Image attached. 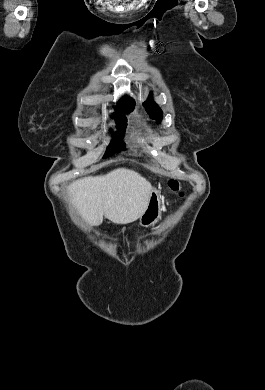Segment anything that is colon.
Returning <instances> with one entry per match:
<instances>
[{"label":"colon","mask_w":265,"mask_h":390,"mask_svg":"<svg viewBox=\"0 0 265 390\" xmlns=\"http://www.w3.org/2000/svg\"><path fill=\"white\" fill-rule=\"evenodd\" d=\"M168 187L174 191V192H178L180 194V196L183 195V193L181 192V184L179 181H177L176 179H170L168 181Z\"/></svg>","instance_id":"colon-1"}]
</instances>
